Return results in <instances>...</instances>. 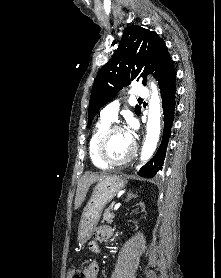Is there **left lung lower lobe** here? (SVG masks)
Wrapping results in <instances>:
<instances>
[{
    "label": "left lung lower lobe",
    "mask_w": 221,
    "mask_h": 278,
    "mask_svg": "<svg viewBox=\"0 0 221 278\" xmlns=\"http://www.w3.org/2000/svg\"><path fill=\"white\" fill-rule=\"evenodd\" d=\"M176 72L173 61H169L167 66L156 77L159 88L161 90L162 106L164 114V130L161 145L155 156L141 168L138 175L142 177L152 178L162 169L164 158L166 155L167 145L171 134V127L174 119L175 111V84Z\"/></svg>",
    "instance_id": "0a47b994"
}]
</instances>
